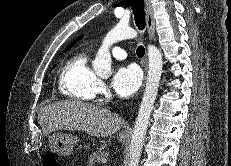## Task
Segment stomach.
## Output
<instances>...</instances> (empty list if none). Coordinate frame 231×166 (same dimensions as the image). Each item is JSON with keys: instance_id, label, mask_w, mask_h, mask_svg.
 Listing matches in <instances>:
<instances>
[{"instance_id": "obj_1", "label": "stomach", "mask_w": 231, "mask_h": 166, "mask_svg": "<svg viewBox=\"0 0 231 166\" xmlns=\"http://www.w3.org/2000/svg\"><path fill=\"white\" fill-rule=\"evenodd\" d=\"M121 142L126 141V137L119 136ZM79 141L76 136L63 133H54L49 136V147L52 152L60 156H68L73 152L74 145Z\"/></svg>"}]
</instances>
